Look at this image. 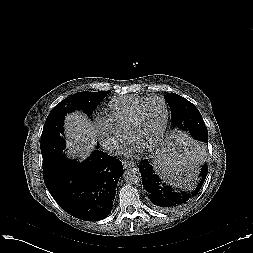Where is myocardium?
Masks as SVG:
<instances>
[{
	"label": "myocardium",
	"mask_w": 253,
	"mask_h": 253,
	"mask_svg": "<svg viewBox=\"0 0 253 253\" xmlns=\"http://www.w3.org/2000/svg\"><path fill=\"white\" fill-rule=\"evenodd\" d=\"M155 100H159V101L163 102V104L165 105V120H164L163 126H162L159 134L157 135V137L154 139V141L151 144H149L148 146L145 147V149L149 150V151L155 149L161 143V141L166 133L167 127H168L169 117H170V108H169V103L165 98L160 97V96H154V97L148 98L142 104H140L138 106V108L136 109V111L134 112V114L131 118V121L129 123V126L127 128V131H126L127 138L131 139L132 134L138 124V121L140 119L143 109L149 103H151L152 101H155Z\"/></svg>",
	"instance_id": "1"
}]
</instances>
